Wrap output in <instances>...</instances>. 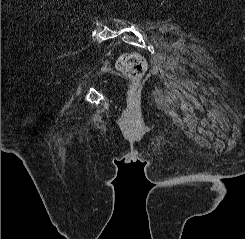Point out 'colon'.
I'll list each match as a JSON object with an SVG mask.
<instances>
[{
    "label": "colon",
    "instance_id": "obj_1",
    "mask_svg": "<svg viewBox=\"0 0 245 239\" xmlns=\"http://www.w3.org/2000/svg\"><path fill=\"white\" fill-rule=\"evenodd\" d=\"M117 69L126 77L137 83L146 70V62L142 55L137 52L122 54L116 63Z\"/></svg>",
    "mask_w": 245,
    "mask_h": 239
}]
</instances>
